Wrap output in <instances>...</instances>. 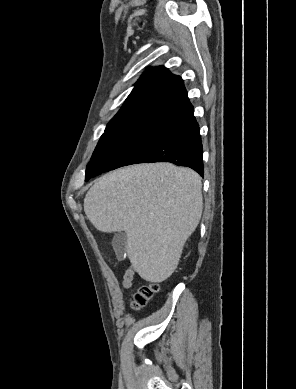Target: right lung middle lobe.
<instances>
[{
  "mask_svg": "<svg viewBox=\"0 0 296 389\" xmlns=\"http://www.w3.org/2000/svg\"><path fill=\"white\" fill-rule=\"evenodd\" d=\"M178 120L147 114L111 120L102 134L87 169L99 172L141 163L153 145Z\"/></svg>",
  "mask_w": 296,
  "mask_h": 389,
  "instance_id": "dd1d6c3e",
  "label": "right lung middle lobe"
}]
</instances>
